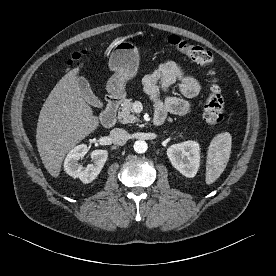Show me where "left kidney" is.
Returning <instances> with one entry per match:
<instances>
[{"mask_svg": "<svg viewBox=\"0 0 276 276\" xmlns=\"http://www.w3.org/2000/svg\"><path fill=\"white\" fill-rule=\"evenodd\" d=\"M167 156L172 166L185 177L196 175L200 165V146L196 141L189 140L170 146Z\"/></svg>", "mask_w": 276, "mask_h": 276, "instance_id": "1", "label": "left kidney"}]
</instances>
